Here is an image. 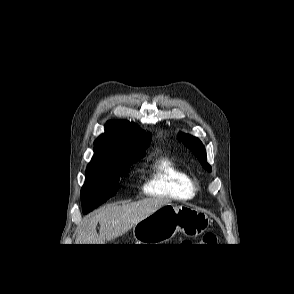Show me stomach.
<instances>
[{"label":"stomach","mask_w":294,"mask_h":294,"mask_svg":"<svg viewBox=\"0 0 294 294\" xmlns=\"http://www.w3.org/2000/svg\"><path fill=\"white\" fill-rule=\"evenodd\" d=\"M210 223L208 215L198 209L169 203L134 225L133 236L137 244H164L178 232L197 237Z\"/></svg>","instance_id":"0dacf381"}]
</instances>
